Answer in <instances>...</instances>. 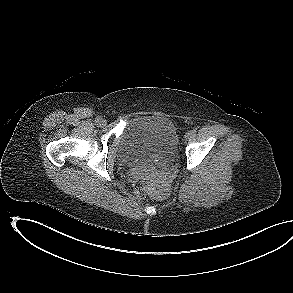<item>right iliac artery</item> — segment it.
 Returning a JSON list of instances; mask_svg holds the SVG:
<instances>
[{
    "instance_id": "1",
    "label": "right iliac artery",
    "mask_w": 293,
    "mask_h": 293,
    "mask_svg": "<svg viewBox=\"0 0 293 293\" xmlns=\"http://www.w3.org/2000/svg\"><path fill=\"white\" fill-rule=\"evenodd\" d=\"M100 120H101V117L96 118V122H100Z\"/></svg>"
}]
</instances>
